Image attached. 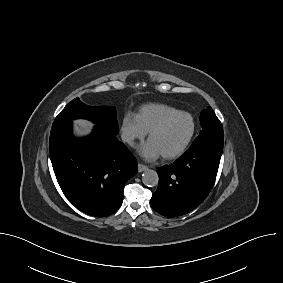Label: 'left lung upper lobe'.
<instances>
[{
  "instance_id": "5c2ea615",
  "label": "left lung upper lobe",
  "mask_w": 283,
  "mask_h": 283,
  "mask_svg": "<svg viewBox=\"0 0 283 283\" xmlns=\"http://www.w3.org/2000/svg\"><path fill=\"white\" fill-rule=\"evenodd\" d=\"M200 122L202 130L191 147L204 144L223 150V127L211 107L202 111Z\"/></svg>"
}]
</instances>
